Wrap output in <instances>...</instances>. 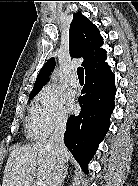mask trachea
<instances>
[{
	"label": "trachea",
	"instance_id": "obj_1",
	"mask_svg": "<svg viewBox=\"0 0 138 186\" xmlns=\"http://www.w3.org/2000/svg\"><path fill=\"white\" fill-rule=\"evenodd\" d=\"M77 75H78L79 81H84V69L82 67H79L77 69Z\"/></svg>",
	"mask_w": 138,
	"mask_h": 186
}]
</instances>
